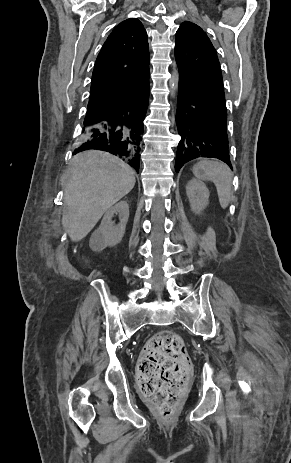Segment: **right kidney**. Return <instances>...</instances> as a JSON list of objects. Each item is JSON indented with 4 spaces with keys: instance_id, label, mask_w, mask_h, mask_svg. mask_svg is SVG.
<instances>
[{
    "instance_id": "right-kidney-1",
    "label": "right kidney",
    "mask_w": 291,
    "mask_h": 463,
    "mask_svg": "<svg viewBox=\"0 0 291 463\" xmlns=\"http://www.w3.org/2000/svg\"><path fill=\"white\" fill-rule=\"evenodd\" d=\"M114 214H119L120 222L117 225L112 221ZM128 218L129 206L126 201H120L108 209L99 228L93 232L90 238V247L94 251H102L107 246L112 247L120 243L125 234Z\"/></svg>"
}]
</instances>
